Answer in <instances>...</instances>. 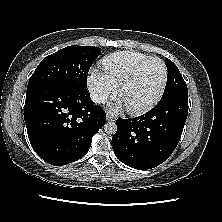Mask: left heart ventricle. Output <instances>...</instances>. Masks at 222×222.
Instances as JSON below:
<instances>
[{
	"label": "left heart ventricle",
	"mask_w": 222,
	"mask_h": 222,
	"mask_svg": "<svg viewBox=\"0 0 222 222\" xmlns=\"http://www.w3.org/2000/svg\"><path fill=\"white\" fill-rule=\"evenodd\" d=\"M162 80V65L158 61H150L143 67L137 78L124 89L121 98L127 107L141 106L157 94Z\"/></svg>",
	"instance_id": "left-heart-ventricle-1"
}]
</instances>
